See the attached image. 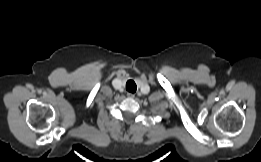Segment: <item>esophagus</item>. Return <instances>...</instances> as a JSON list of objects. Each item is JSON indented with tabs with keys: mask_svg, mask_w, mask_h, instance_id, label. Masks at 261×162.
Masks as SVG:
<instances>
[{
	"mask_svg": "<svg viewBox=\"0 0 261 162\" xmlns=\"http://www.w3.org/2000/svg\"><path fill=\"white\" fill-rule=\"evenodd\" d=\"M128 97H130V98H134V97H135V95H133V94L129 93V94H128Z\"/></svg>",
	"mask_w": 261,
	"mask_h": 162,
	"instance_id": "obj_1",
	"label": "esophagus"
}]
</instances>
